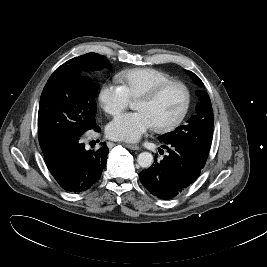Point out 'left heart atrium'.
<instances>
[{
    "mask_svg": "<svg viewBox=\"0 0 267 267\" xmlns=\"http://www.w3.org/2000/svg\"><path fill=\"white\" fill-rule=\"evenodd\" d=\"M151 128L152 125L144 113L128 112L108 124L107 134L114 140L136 142Z\"/></svg>",
    "mask_w": 267,
    "mask_h": 267,
    "instance_id": "obj_1",
    "label": "left heart atrium"
}]
</instances>
